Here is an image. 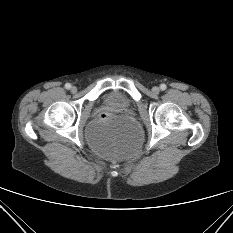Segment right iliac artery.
I'll return each mask as SVG.
<instances>
[{"label": "right iliac artery", "instance_id": "82829eb1", "mask_svg": "<svg viewBox=\"0 0 233 233\" xmlns=\"http://www.w3.org/2000/svg\"><path fill=\"white\" fill-rule=\"evenodd\" d=\"M65 88H66V89H70V88H71V84L66 83V84H65Z\"/></svg>", "mask_w": 233, "mask_h": 233}]
</instances>
